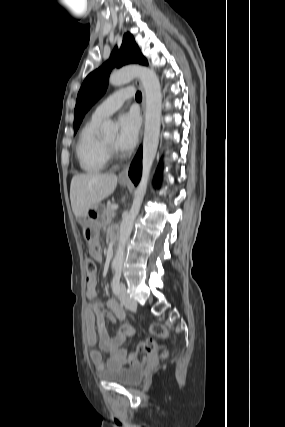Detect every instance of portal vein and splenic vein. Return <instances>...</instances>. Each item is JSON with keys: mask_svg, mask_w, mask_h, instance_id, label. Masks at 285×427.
Segmentation results:
<instances>
[{"mask_svg": "<svg viewBox=\"0 0 285 427\" xmlns=\"http://www.w3.org/2000/svg\"><path fill=\"white\" fill-rule=\"evenodd\" d=\"M118 207H119V206H118L117 204H114V205L112 206V209H113V210H117V209H118Z\"/></svg>", "mask_w": 285, "mask_h": 427, "instance_id": "18ae733b", "label": "portal vein and splenic vein"}]
</instances>
